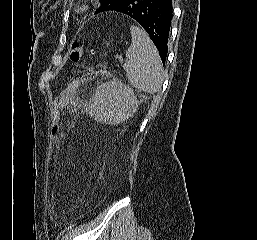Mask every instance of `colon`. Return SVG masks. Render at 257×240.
<instances>
[{
    "mask_svg": "<svg viewBox=\"0 0 257 240\" xmlns=\"http://www.w3.org/2000/svg\"><path fill=\"white\" fill-rule=\"evenodd\" d=\"M84 54V45L81 43H73L70 52V58L73 62H78ZM62 110L58 99L55 100L52 110L51 135L56 137L61 130Z\"/></svg>",
    "mask_w": 257,
    "mask_h": 240,
    "instance_id": "5ec220e1",
    "label": "colon"
}]
</instances>
